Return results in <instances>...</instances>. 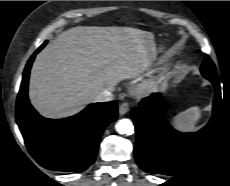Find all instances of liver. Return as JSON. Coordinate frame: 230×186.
I'll use <instances>...</instances> for the list:
<instances>
[{
	"label": "liver",
	"mask_w": 230,
	"mask_h": 186,
	"mask_svg": "<svg viewBox=\"0 0 230 186\" xmlns=\"http://www.w3.org/2000/svg\"><path fill=\"white\" fill-rule=\"evenodd\" d=\"M152 33L130 27L70 28L34 61L29 98L43 116L60 119L80 112L104 90L143 73L156 58Z\"/></svg>",
	"instance_id": "liver-1"
}]
</instances>
